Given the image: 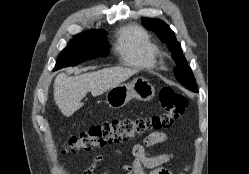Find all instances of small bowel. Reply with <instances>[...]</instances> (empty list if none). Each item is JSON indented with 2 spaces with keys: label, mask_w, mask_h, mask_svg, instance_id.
Wrapping results in <instances>:
<instances>
[{
  "label": "small bowel",
  "mask_w": 249,
  "mask_h": 174,
  "mask_svg": "<svg viewBox=\"0 0 249 174\" xmlns=\"http://www.w3.org/2000/svg\"><path fill=\"white\" fill-rule=\"evenodd\" d=\"M166 141L167 135L165 133L149 135L143 143L133 145L131 153L134 160L131 164H123L116 168L107 169L102 174H112L115 169L120 170L125 174H146V169L150 170L149 174H171L163 167L164 164L172 160L173 155L171 153H162L155 156H150L146 153L147 147L162 144ZM103 159V155L94 156L83 174H94L97 166Z\"/></svg>",
  "instance_id": "small-bowel-1"
}]
</instances>
